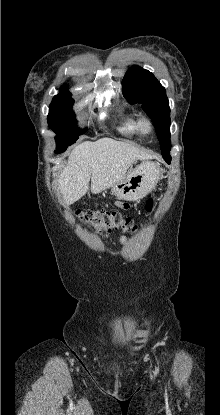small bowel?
<instances>
[{"label": "small bowel", "mask_w": 220, "mask_h": 415, "mask_svg": "<svg viewBox=\"0 0 220 415\" xmlns=\"http://www.w3.org/2000/svg\"><path fill=\"white\" fill-rule=\"evenodd\" d=\"M120 241L122 242V243H124L125 242V238L122 236V237H120Z\"/></svg>", "instance_id": "obj_1"}]
</instances>
